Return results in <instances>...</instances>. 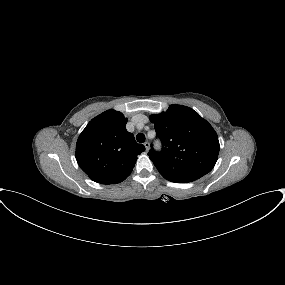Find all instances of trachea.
Returning a JSON list of instances; mask_svg holds the SVG:
<instances>
[{"instance_id":"1","label":"trachea","mask_w":285,"mask_h":285,"mask_svg":"<svg viewBox=\"0 0 285 285\" xmlns=\"http://www.w3.org/2000/svg\"><path fill=\"white\" fill-rule=\"evenodd\" d=\"M136 139L138 142L143 143V142H145L146 138H145V135L143 133H139V134H137Z\"/></svg>"}]
</instances>
